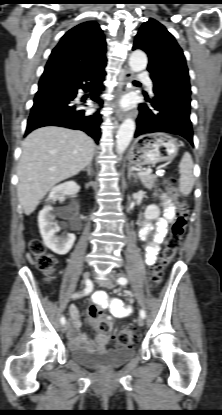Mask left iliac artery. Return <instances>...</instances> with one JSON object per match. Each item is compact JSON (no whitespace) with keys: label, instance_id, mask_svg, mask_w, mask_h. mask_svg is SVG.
Here are the masks:
<instances>
[{"label":"left iliac artery","instance_id":"1","mask_svg":"<svg viewBox=\"0 0 222 415\" xmlns=\"http://www.w3.org/2000/svg\"><path fill=\"white\" fill-rule=\"evenodd\" d=\"M117 282L120 285H126L128 283V280L125 277H120V278H118ZM140 316L142 318H145V316H146V313H145V311L143 309L140 310Z\"/></svg>","mask_w":222,"mask_h":415}]
</instances>
